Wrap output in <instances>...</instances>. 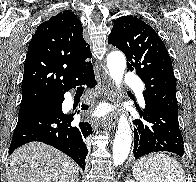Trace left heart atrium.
I'll return each instance as SVG.
<instances>
[{
    "mask_svg": "<svg viewBox=\"0 0 196 182\" xmlns=\"http://www.w3.org/2000/svg\"><path fill=\"white\" fill-rule=\"evenodd\" d=\"M103 112H104L103 110H100V111H99V114H103Z\"/></svg>",
    "mask_w": 196,
    "mask_h": 182,
    "instance_id": "obj_1",
    "label": "left heart atrium"
}]
</instances>
